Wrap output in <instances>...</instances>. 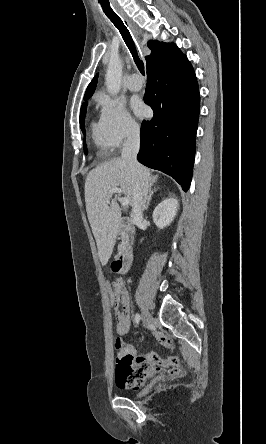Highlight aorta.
Segmentation results:
<instances>
[{
  "instance_id": "762f6f07",
  "label": "aorta",
  "mask_w": 266,
  "mask_h": 444,
  "mask_svg": "<svg viewBox=\"0 0 266 444\" xmlns=\"http://www.w3.org/2000/svg\"><path fill=\"white\" fill-rule=\"evenodd\" d=\"M122 78V62L118 57H111L105 75V84L110 95L119 93Z\"/></svg>"
}]
</instances>
